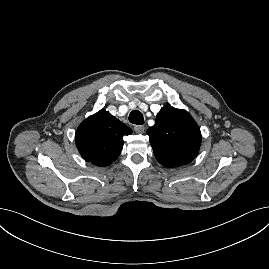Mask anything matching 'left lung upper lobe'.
<instances>
[{
  "label": "left lung upper lobe",
  "mask_w": 269,
  "mask_h": 269,
  "mask_svg": "<svg viewBox=\"0 0 269 269\" xmlns=\"http://www.w3.org/2000/svg\"><path fill=\"white\" fill-rule=\"evenodd\" d=\"M157 161L166 167L191 162L198 154L201 132L193 118L182 109L164 106L155 125L147 130Z\"/></svg>",
  "instance_id": "5c2ea615"
}]
</instances>
